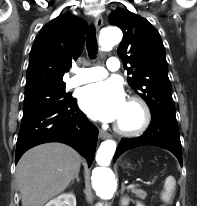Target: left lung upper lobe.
<instances>
[{
  "instance_id": "obj_1",
  "label": "left lung upper lobe",
  "mask_w": 197,
  "mask_h": 206,
  "mask_svg": "<svg viewBox=\"0 0 197 206\" xmlns=\"http://www.w3.org/2000/svg\"><path fill=\"white\" fill-rule=\"evenodd\" d=\"M109 23L123 31L117 53L132 75L129 85L146 101L152 115L175 117L165 49L158 31L145 18L123 9L112 12Z\"/></svg>"
}]
</instances>
